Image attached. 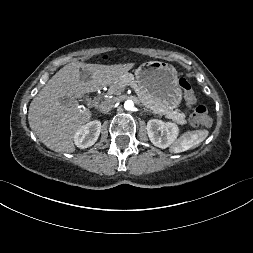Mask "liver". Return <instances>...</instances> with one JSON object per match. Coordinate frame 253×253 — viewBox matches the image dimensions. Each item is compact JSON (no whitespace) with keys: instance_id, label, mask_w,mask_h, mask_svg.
<instances>
[{"instance_id":"1","label":"liver","mask_w":253,"mask_h":253,"mask_svg":"<svg viewBox=\"0 0 253 253\" xmlns=\"http://www.w3.org/2000/svg\"><path fill=\"white\" fill-rule=\"evenodd\" d=\"M133 65L85 64L79 61L65 65L30 103V128L49 149L74 152L76 131L91 119V111L79 106L76 99L113 84ZM62 98H67L68 105L61 103Z\"/></svg>"}]
</instances>
